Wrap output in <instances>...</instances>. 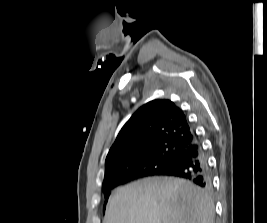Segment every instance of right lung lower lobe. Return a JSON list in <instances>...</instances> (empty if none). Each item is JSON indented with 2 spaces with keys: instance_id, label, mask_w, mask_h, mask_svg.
Returning <instances> with one entry per match:
<instances>
[{
  "instance_id": "1",
  "label": "right lung lower lobe",
  "mask_w": 267,
  "mask_h": 223,
  "mask_svg": "<svg viewBox=\"0 0 267 223\" xmlns=\"http://www.w3.org/2000/svg\"><path fill=\"white\" fill-rule=\"evenodd\" d=\"M194 136L196 137L195 133ZM154 175L183 178L202 188H208L210 186L207 159L197 138L183 151L181 156L173 164H171L163 172H159ZM154 175L144 171H130L109 177L103 182L102 188L105 194L108 192L111 193V189L118 185L124 184L133 179Z\"/></svg>"
}]
</instances>
